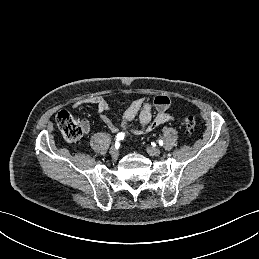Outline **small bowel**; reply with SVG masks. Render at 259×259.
<instances>
[{"label":"small bowel","mask_w":259,"mask_h":259,"mask_svg":"<svg viewBox=\"0 0 259 259\" xmlns=\"http://www.w3.org/2000/svg\"><path fill=\"white\" fill-rule=\"evenodd\" d=\"M84 105H95L100 119L111 132H117L119 129L128 132L131 122L138 117L139 125L133 129L134 133L149 132L159 125L171 121L173 117L167 113L171 105V99L165 95H158L153 100V106L156 114L153 115L152 104L145 98L134 100L124 111L120 127H118L107 115L109 110L108 102L101 96L89 97L73 103L72 108L77 109ZM81 127L84 133L90 130V123L87 119L81 120Z\"/></svg>","instance_id":"obj_1"}]
</instances>
